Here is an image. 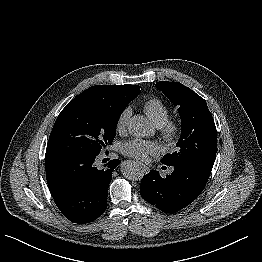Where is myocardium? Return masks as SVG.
Segmentation results:
<instances>
[{
    "mask_svg": "<svg viewBox=\"0 0 262 262\" xmlns=\"http://www.w3.org/2000/svg\"><path fill=\"white\" fill-rule=\"evenodd\" d=\"M161 133L162 137L169 145H174L180 137L181 125L175 121H168L161 127Z\"/></svg>",
    "mask_w": 262,
    "mask_h": 262,
    "instance_id": "myocardium-1",
    "label": "myocardium"
}]
</instances>
